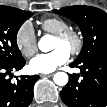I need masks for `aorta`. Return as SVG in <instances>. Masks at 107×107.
Here are the masks:
<instances>
[{
  "label": "aorta",
  "mask_w": 107,
  "mask_h": 107,
  "mask_svg": "<svg viewBox=\"0 0 107 107\" xmlns=\"http://www.w3.org/2000/svg\"><path fill=\"white\" fill-rule=\"evenodd\" d=\"M52 36L45 35L39 42L38 47L42 52H49L52 49ZM54 83L58 86H64L68 83V75L65 72H57L53 77Z\"/></svg>",
  "instance_id": "obj_1"
}]
</instances>
